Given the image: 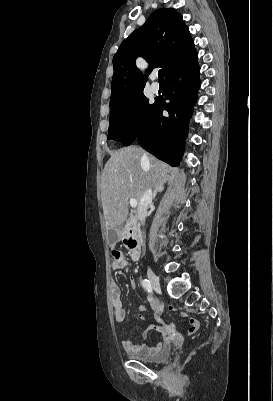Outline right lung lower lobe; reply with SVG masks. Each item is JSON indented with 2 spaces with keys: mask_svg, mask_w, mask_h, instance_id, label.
I'll return each instance as SVG.
<instances>
[{
  "mask_svg": "<svg viewBox=\"0 0 273 401\" xmlns=\"http://www.w3.org/2000/svg\"><path fill=\"white\" fill-rule=\"evenodd\" d=\"M199 72L197 58L172 69L165 78V98L170 102L156 100L150 122L136 137L145 150L171 166H177L183 154L189 119L200 87ZM163 110L168 111V117L163 116Z\"/></svg>",
  "mask_w": 273,
  "mask_h": 401,
  "instance_id": "obj_1",
  "label": "right lung lower lobe"
}]
</instances>
